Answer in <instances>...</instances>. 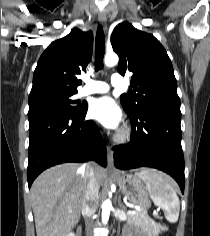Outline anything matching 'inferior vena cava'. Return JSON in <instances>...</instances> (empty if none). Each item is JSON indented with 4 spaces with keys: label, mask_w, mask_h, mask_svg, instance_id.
I'll return each instance as SVG.
<instances>
[{
    "label": "inferior vena cava",
    "mask_w": 210,
    "mask_h": 236,
    "mask_svg": "<svg viewBox=\"0 0 210 236\" xmlns=\"http://www.w3.org/2000/svg\"><path fill=\"white\" fill-rule=\"evenodd\" d=\"M87 190L83 201L82 214L86 217V235L92 236L93 220L92 216L96 212L99 199V182L96 179L94 167L87 165Z\"/></svg>",
    "instance_id": "602c4592"
}]
</instances>
